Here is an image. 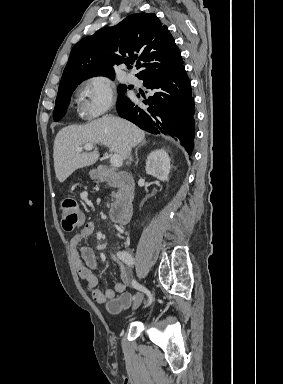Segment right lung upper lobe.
<instances>
[{"label": "right lung upper lobe", "instance_id": "1", "mask_svg": "<svg viewBox=\"0 0 283 384\" xmlns=\"http://www.w3.org/2000/svg\"><path fill=\"white\" fill-rule=\"evenodd\" d=\"M135 60L141 69L136 76L141 80L183 64L167 26L153 13L132 14L118 25L79 41L71 50L60 85L81 83L99 75L113 79L114 66Z\"/></svg>", "mask_w": 283, "mask_h": 384}]
</instances>
